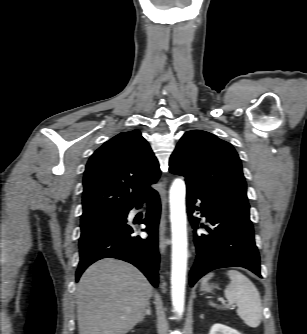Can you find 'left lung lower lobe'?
I'll return each instance as SVG.
<instances>
[{
	"label": "left lung lower lobe",
	"instance_id": "0a47b994",
	"mask_svg": "<svg viewBox=\"0 0 307 334\" xmlns=\"http://www.w3.org/2000/svg\"><path fill=\"white\" fill-rule=\"evenodd\" d=\"M198 201L200 207L195 206ZM194 208L214 227H206V233L194 231L197 257L190 272V285L214 269L232 266L244 267L262 277L249 204L187 186V212L197 229L200 219L192 216Z\"/></svg>",
	"mask_w": 307,
	"mask_h": 334
}]
</instances>
